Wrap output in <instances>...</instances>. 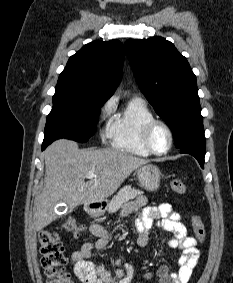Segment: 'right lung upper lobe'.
I'll return each mask as SVG.
<instances>
[{"label":"right lung upper lobe","mask_w":233,"mask_h":283,"mask_svg":"<svg viewBox=\"0 0 233 283\" xmlns=\"http://www.w3.org/2000/svg\"><path fill=\"white\" fill-rule=\"evenodd\" d=\"M123 62L124 48L118 40L88 43L69 58L56 90L105 103L121 80Z\"/></svg>","instance_id":"right-lung-upper-lobe-1"}]
</instances>
